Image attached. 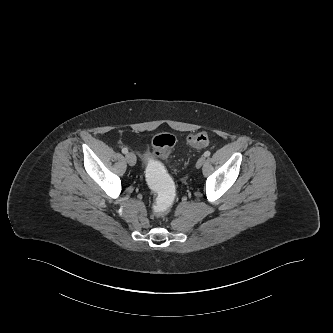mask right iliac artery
<instances>
[{
	"instance_id": "1",
	"label": "right iliac artery",
	"mask_w": 333,
	"mask_h": 333,
	"mask_svg": "<svg viewBox=\"0 0 333 333\" xmlns=\"http://www.w3.org/2000/svg\"><path fill=\"white\" fill-rule=\"evenodd\" d=\"M122 153L123 154H127L128 153V149L127 148H122Z\"/></svg>"
}]
</instances>
